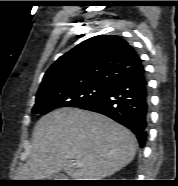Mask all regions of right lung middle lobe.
<instances>
[{
  "mask_svg": "<svg viewBox=\"0 0 178 186\" xmlns=\"http://www.w3.org/2000/svg\"><path fill=\"white\" fill-rule=\"evenodd\" d=\"M109 84L90 83L37 93L34 114L45 115L61 107H79L102 94Z\"/></svg>",
  "mask_w": 178,
  "mask_h": 186,
  "instance_id": "dd1d6c3e",
  "label": "right lung middle lobe"
}]
</instances>
